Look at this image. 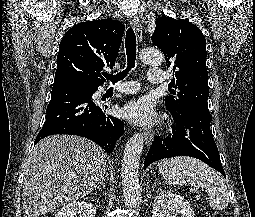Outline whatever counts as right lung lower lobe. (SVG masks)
Returning a JSON list of instances; mask_svg holds the SVG:
<instances>
[{
	"instance_id": "98d812e1",
	"label": "right lung lower lobe",
	"mask_w": 255,
	"mask_h": 217,
	"mask_svg": "<svg viewBox=\"0 0 255 217\" xmlns=\"http://www.w3.org/2000/svg\"><path fill=\"white\" fill-rule=\"evenodd\" d=\"M97 89L82 85L53 87L46 121L35 144L54 134L78 135L94 141L111 153L124 131V123L102 112L108 107L107 104L102 106L93 102L92 95Z\"/></svg>"
}]
</instances>
